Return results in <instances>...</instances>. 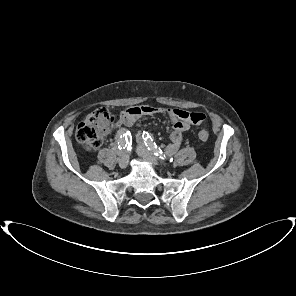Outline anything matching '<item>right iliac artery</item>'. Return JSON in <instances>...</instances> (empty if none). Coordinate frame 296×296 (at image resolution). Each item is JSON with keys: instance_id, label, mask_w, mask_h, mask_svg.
Returning <instances> with one entry per match:
<instances>
[{"instance_id": "1", "label": "right iliac artery", "mask_w": 296, "mask_h": 296, "mask_svg": "<svg viewBox=\"0 0 296 296\" xmlns=\"http://www.w3.org/2000/svg\"><path fill=\"white\" fill-rule=\"evenodd\" d=\"M117 145L119 150H125V130H121L117 135Z\"/></svg>"}]
</instances>
